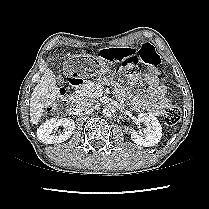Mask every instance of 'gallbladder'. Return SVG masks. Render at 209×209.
<instances>
[{"label": "gallbladder", "instance_id": "1", "mask_svg": "<svg viewBox=\"0 0 209 209\" xmlns=\"http://www.w3.org/2000/svg\"><path fill=\"white\" fill-rule=\"evenodd\" d=\"M58 59V57L57 56H53V57H51V60L52 61H56Z\"/></svg>", "mask_w": 209, "mask_h": 209}]
</instances>
